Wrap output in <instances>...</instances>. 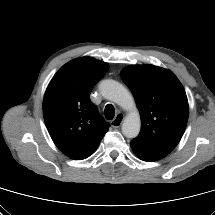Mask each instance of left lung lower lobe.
<instances>
[{
    "instance_id": "left-lung-lower-lobe-1",
    "label": "left lung lower lobe",
    "mask_w": 215,
    "mask_h": 215,
    "mask_svg": "<svg viewBox=\"0 0 215 215\" xmlns=\"http://www.w3.org/2000/svg\"><path fill=\"white\" fill-rule=\"evenodd\" d=\"M131 148H132V150L134 151V153H135L141 160L152 162V161H156V160L161 159V158H159V157H157V156L148 154V153L142 151L141 149L135 148V147H133V146H131Z\"/></svg>"
}]
</instances>
